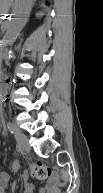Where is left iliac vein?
I'll list each match as a JSON object with an SVG mask.
<instances>
[{"mask_svg":"<svg viewBox=\"0 0 103 193\" xmlns=\"http://www.w3.org/2000/svg\"><path fill=\"white\" fill-rule=\"evenodd\" d=\"M15 138L16 141L19 145V147L24 150V151H29L30 150V145H29V139L27 135L23 134L20 130L17 129L15 133Z\"/></svg>","mask_w":103,"mask_h":193,"instance_id":"left-iliac-vein-1","label":"left iliac vein"}]
</instances>
